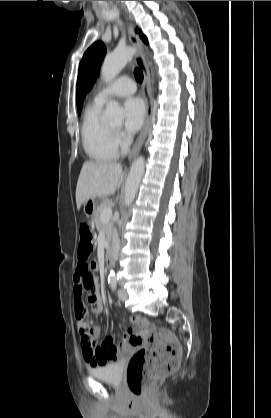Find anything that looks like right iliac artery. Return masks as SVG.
<instances>
[{"instance_id":"obj_1","label":"right iliac artery","mask_w":271,"mask_h":418,"mask_svg":"<svg viewBox=\"0 0 271 418\" xmlns=\"http://www.w3.org/2000/svg\"><path fill=\"white\" fill-rule=\"evenodd\" d=\"M108 282H109V283H111V282H113V281H112V280H111V281H109V280H108Z\"/></svg>"}]
</instances>
